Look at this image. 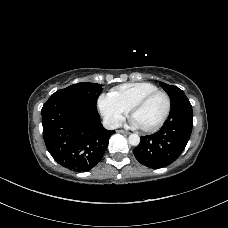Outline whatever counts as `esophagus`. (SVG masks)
<instances>
[{
  "label": "esophagus",
  "instance_id": "obj_1",
  "mask_svg": "<svg viewBox=\"0 0 228 228\" xmlns=\"http://www.w3.org/2000/svg\"><path fill=\"white\" fill-rule=\"evenodd\" d=\"M116 132L121 134H127V135L130 134V132L124 131V130H117Z\"/></svg>",
  "mask_w": 228,
  "mask_h": 228
}]
</instances>
